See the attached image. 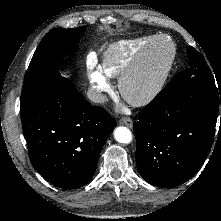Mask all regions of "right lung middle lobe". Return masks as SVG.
Listing matches in <instances>:
<instances>
[{"label":"right lung middle lobe","instance_id":"dd1d6c3e","mask_svg":"<svg viewBox=\"0 0 221 221\" xmlns=\"http://www.w3.org/2000/svg\"><path fill=\"white\" fill-rule=\"evenodd\" d=\"M84 27L73 29L54 28L47 33L27 69L20 106L25 105L46 85L61 77V59L65 54H72L77 49L78 37Z\"/></svg>","mask_w":221,"mask_h":221}]
</instances>
